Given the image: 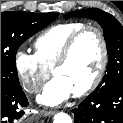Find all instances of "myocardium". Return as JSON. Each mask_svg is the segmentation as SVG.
I'll list each match as a JSON object with an SVG mask.
<instances>
[{
    "instance_id": "myocardium-1",
    "label": "myocardium",
    "mask_w": 123,
    "mask_h": 123,
    "mask_svg": "<svg viewBox=\"0 0 123 123\" xmlns=\"http://www.w3.org/2000/svg\"><path fill=\"white\" fill-rule=\"evenodd\" d=\"M88 32H95L96 35L98 36V39L100 41V46H101V59H100L98 69L94 77L91 79V81L83 89L73 92V94L77 97H82L92 92L100 84L104 76V73L108 64V45H107V41L103 31L95 25H85L80 30L75 32L66 41L62 49L60 57L58 58L57 62L54 64L52 68V73L53 75H55L56 71L60 67L64 66L70 59V56L72 54V51L77 41Z\"/></svg>"
}]
</instances>
